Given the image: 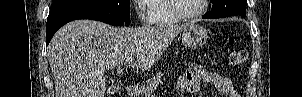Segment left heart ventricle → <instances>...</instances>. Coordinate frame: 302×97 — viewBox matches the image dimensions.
<instances>
[{"label":"left heart ventricle","mask_w":302,"mask_h":97,"mask_svg":"<svg viewBox=\"0 0 302 97\" xmlns=\"http://www.w3.org/2000/svg\"><path fill=\"white\" fill-rule=\"evenodd\" d=\"M177 10L185 15L195 13L201 8V0H176Z\"/></svg>","instance_id":"obj_1"}]
</instances>
